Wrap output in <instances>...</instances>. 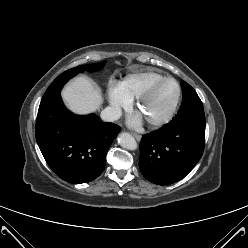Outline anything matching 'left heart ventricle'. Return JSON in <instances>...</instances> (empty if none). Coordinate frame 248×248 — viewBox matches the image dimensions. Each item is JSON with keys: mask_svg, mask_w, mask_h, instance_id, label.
Wrapping results in <instances>:
<instances>
[{"mask_svg": "<svg viewBox=\"0 0 248 248\" xmlns=\"http://www.w3.org/2000/svg\"><path fill=\"white\" fill-rule=\"evenodd\" d=\"M177 90L173 83L159 86L140 109L142 117L149 121L164 116L172 107Z\"/></svg>", "mask_w": 248, "mask_h": 248, "instance_id": "obj_1", "label": "left heart ventricle"}]
</instances>
